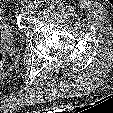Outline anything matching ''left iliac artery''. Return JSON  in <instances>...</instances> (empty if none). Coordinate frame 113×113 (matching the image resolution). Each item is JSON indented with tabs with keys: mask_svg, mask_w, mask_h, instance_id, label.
Here are the masks:
<instances>
[{
	"mask_svg": "<svg viewBox=\"0 0 113 113\" xmlns=\"http://www.w3.org/2000/svg\"><path fill=\"white\" fill-rule=\"evenodd\" d=\"M34 4L36 7H41L43 3H42V0H35Z\"/></svg>",
	"mask_w": 113,
	"mask_h": 113,
	"instance_id": "1",
	"label": "left iliac artery"
}]
</instances>
